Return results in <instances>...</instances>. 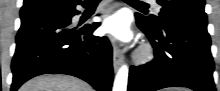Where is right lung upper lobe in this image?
<instances>
[{"label": "right lung upper lobe", "instance_id": "obj_1", "mask_svg": "<svg viewBox=\"0 0 220 91\" xmlns=\"http://www.w3.org/2000/svg\"><path fill=\"white\" fill-rule=\"evenodd\" d=\"M80 1L81 0H24V4L20 11V16L22 17L45 10H55L69 5L70 2ZM84 2H87V0H85Z\"/></svg>", "mask_w": 220, "mask_h": 91}]
</instances>
